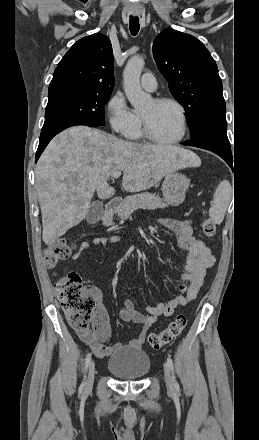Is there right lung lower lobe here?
<instances>
[{
    "label": "right lung lower lobe",
    "instance_id": "98d812e1",
    "mask_svg": "<svg viewBox=\"0 0 259 440\" xmlns=\"http://www.w3.org/2000/svg\"><path fill=\"white\" fill-rule=\"evenodd\" d=\"M76 125H86V126H90V127H98L100 125L95 124V123H91L88 121H84V120H65L59 123H55L49 126H43L42 131H41V135H40V141H39V146L36 152V158H35V162H37V160L39 159L40 155L42 154V152L44 151L45 147L47 146V144L50 142V140L59 132L63 131L66 128L72 127V126H76Z\"/></svg>",
    "mask_w": 259,
    "mask_h": 440
}]
</instances>
